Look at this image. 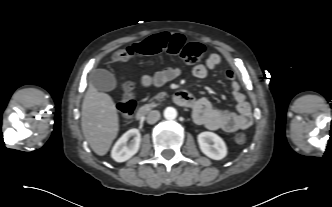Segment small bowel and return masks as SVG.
Wrapping results in <instances>:
<instances>
[{
  "mask_svg": "<svg viewBox=\"0 0 332 207\" xmlns=\"http://www.w3.org/2000/svg\"><path fill=\"white\" fill-rule=\"evenodd\" d=\"M221 63L217 54H211L205 63L196 64L193 67V75L196 78H205L208 73L219 67ZM180 69L166 67L153 75H146L141 79L143 87H161L166 82L176 78ZM225 76L230 83L232 96L236 102L237 113L225 112L214 108L206 98L195 99L192 106L195 121L210 130H222L235 132L246 129L252 124L251 106L241 91L239 82L233 70L227 69Z\"/></svg>",
  "mask_w": 332,
  "mask_h": 207,
  "instance_id": "1",
  "label": "small bowel"
}]
</instances>
